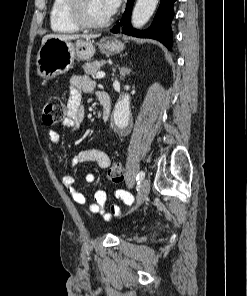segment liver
<instances>
[{"label": "liver", "mask_w": 247, "mask_h": 296, "mask_svg": "<svg viewBox=\"0 0 247 296\" xmlns=\"http://www.w3.org/2000/svg\"><path fill=\"white\" fill-rule=\"evenodd\" d=\"M80 37H83L89 40V39L97 38L99 37V35H82L81 36V35H67V34H48L43 37L42 44L50 38H58L64 41H70V40L79 39Z\"/></svg>", "instance_id": "liver-1"}]
</instances>
